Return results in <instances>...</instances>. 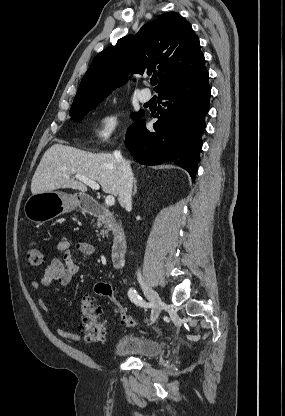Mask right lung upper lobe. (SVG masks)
Segmentation results:
<instances>
[{"mask_svg": "<svg viewBox=\"0 0 285 416\" xmlns=\"http://www.w3.org/2000/svg\"><path fill=\"white\" fill-rule=\"evenodd\" d=\"M158 75V95L207 73L198 37L178 13H164L136 35L100 52L84 75L71 109L101 101L128 73Z\"/></svg>", "mask_w": 285, "mask_h": 416, "instance_id": "cb5924a9", "label": "right lung upper lobe"}]
</instances>
